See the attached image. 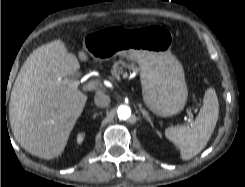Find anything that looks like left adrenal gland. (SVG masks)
Segmentation results:
<instances>
[{
    "label": "left adrenal gland",
    "mask_w": 245,
    "mask_h": 187,
    "mask_svg": "<svg viewBox=\"0 0 245 187\" xmlns=\"http://www.w3.org/2000/svg\"><path fill=\"white\" fill-rule=\"evenodd\" d=\"M139 107H140V111L142 112L143 117L148 120V122L151 124V126H153L152 120L149 117L147 111H145V109H143L141 105H139Z\"/></svg>",
    "instance_id": "1"
}]
</instances>
